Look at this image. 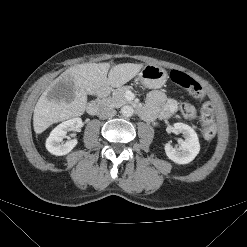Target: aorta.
Here are the masks:
<instances>
[{"label": "aorta", "mask_w": 247, "mask_h": 247, "mask_svg": "<svg viewBox=\"0 0 247 247\" xmlns=\"http://www.w3.org/2000/svg\"><path fill=\"white\" fill-rule=\"evenodd\" d=\"M121 113L124 117H131L134 114V109L127 105L121 108Z\"/></svg>", "instance_id": "1"}]
</instances>
